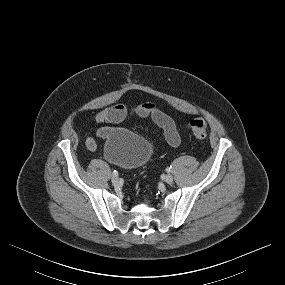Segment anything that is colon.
<instances>
[{
  "label": "colon",
  "instance_id": "5ec220e1",
  "mask_svg": "<svg viewBox=\"0 0 285 285\" xmlns=\"http://www.w3.org/2000/svg\"><path fill=\"white\" fill-rule=\"evenodd\" d=\"M190 127L194 137L202 141L207 136V124L203 118H195L190 121Z\"/></svg>",
  "mask_w": 285,
  "mask_h": 285
}]
</instances>
